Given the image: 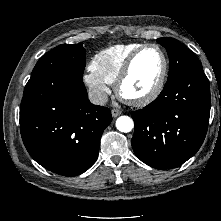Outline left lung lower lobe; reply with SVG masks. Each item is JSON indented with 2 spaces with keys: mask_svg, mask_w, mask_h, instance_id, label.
Returning <instances> with one entry per match:
<instances>
[{
  "mask_svg": "<svg viewBox=\"0 0 221 221\" xmlns=\"http://www.w3.org/2000/svg\"><path fill=\"white\" fill-rule=\"evenodd\" d=\"M210 86L203 69L166 83L156 100L133 111L136 156L156 169L176 168L191 158L206 136Z\"/></svg>",
  "mask_w": 221,
  "mask_h": 221,
  "instance_id": "left-lung-lower-lobe-1",
  "label": "left lung lower lobe"
}]
</instances>
